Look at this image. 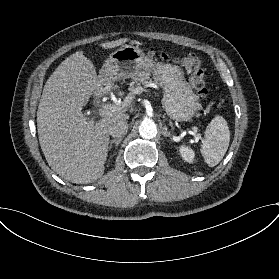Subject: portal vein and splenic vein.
Segmentation results:
<instances>
[{
	"mask_svg": "<svg viewBox=\"0 0 279 279\" xmlns=\"http://www.w3.org/2000/svg\"><path fill=\"white\" fill-rule=\"evenodd\" d=\"M151 87H153V84L150 85ZM143 88L140 87V89L137 91V94L142 92ZM131 97L126 98V103H124V106L122 105V107L118 106V104H106L103 106L102 109L99 110L100 115L104 116V115H112L115 112H121L123 107H127L128 104L131 103ZM192 130L194 133L197 132L198 128L196 126L192 127Z\"/></svg>",
	"mask_w": 279,
	"mask_h": 279,
	"instance_id": "1",
	"label": "portal vein and splenic vein"
}]
</instances>
